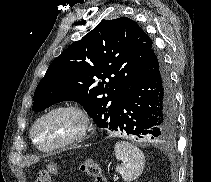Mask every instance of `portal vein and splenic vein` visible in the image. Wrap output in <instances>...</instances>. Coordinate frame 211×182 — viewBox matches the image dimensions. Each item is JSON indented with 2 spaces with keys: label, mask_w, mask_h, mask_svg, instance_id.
<instances>
[{
  "label": "portal vein and splenic vein",
  "mask_w": 211,
  "mask_h": 182,
  "mask_svg": "<svg viewBox=\"0 0 211 182\" xmlns=\"http://www.w3.org/2000/svg\"><path fill=\"white\" fill-rule=\"evenodd\" d=\"M119 178L117 176H114V180L117 181Z\"/></svg>",
  "instance_id": "1"
}]
</instances>
